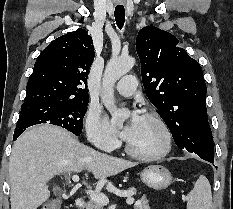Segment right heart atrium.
Masks as SVG:
<instances>
[{
    "mask_svg": "<svg viewBox=\"0 0 233 209\" xmlns=\"http://www.w3.org/2000/svg\"><path fill=\"white\" fill-rule=\"evenodd\" d=\"M85 129L89 142L103 151H112L118 146L115 135L104 124L98 108L90 107L85 117Z\"/></svg>",
    "mask_w": 233,
    "mask_h": 209,
    "instance_id": "d8ad5b80",
    "label": "right heart atrium"
}]
</instances>
